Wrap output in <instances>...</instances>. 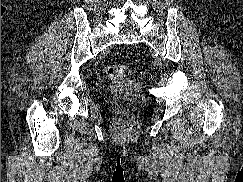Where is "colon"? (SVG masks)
Wrapping results in <instances>:
<instances>
[{
    "label": "colon",
    "instance_id": "5ec220e1",
    "mask_svg": "<svg viewBox=\"0 0 243 182\" xmlns=\"http://www.w3.org/2000/svg\"><path fill=\"white\" fill-rule=\"evenodd\" d=\"M107 75L114 80H120L128 77L131 74V69L122 64H114L107 67Z\"/></svg>",
    "mask_w": 243,
    "mask_h": 182
}]
</instances>
